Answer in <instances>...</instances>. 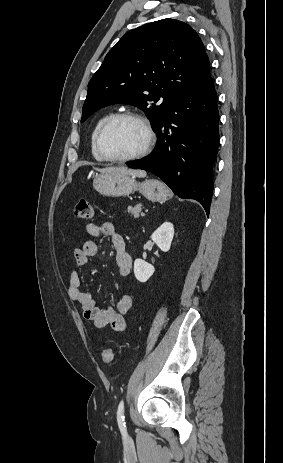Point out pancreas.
Returning <instances> with one entry per match:
<instances>
[{
  "label": "pancreas",
  "instance_id": "1",
  "mask_svg": "<svg viewBox=\"0 0 283 463\" xmlns=\"http://www.w3.org/2000/svg\"><path fill=\"white\" fill-rule=\"evenodd\" d=\"M143 210V205L141 203L135 205V206H129L127 211L128 213L131 214L134 218H139L141 216H144V213L142 212Z\"/></svg>",
  "mask_w": 283,
  "mask_h": 463
}]
</instances>
